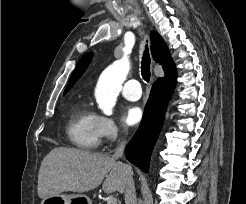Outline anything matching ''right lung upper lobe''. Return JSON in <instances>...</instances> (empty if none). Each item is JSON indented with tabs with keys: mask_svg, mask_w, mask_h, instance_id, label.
<instances>
[{
	"mask_svg": "<svg viewBox=\"0 0 246 204\" xmlns=\"http://www.w3.org/2000/svg\"><path fill=\"white\" fill-rule=\"evenodd\" d=\"M151 52L154 60L163 65V69L166 72L175 68L170 58L169 50L162 37L155 31L151 32ZM92 58V53H86L79 60L75 70L73 71L69 83L64 91L67 93L75 82L85 72Z\"/></svg>",
	"mask_w": 246,
	"mask_h": 204,
	"instance_id": "1",
	"label": "right lung upper lobe"
}]
</instances>
